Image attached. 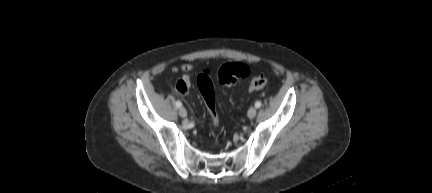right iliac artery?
I'll return each mask as SVG.
<instances>
[{
  "label": "right iliac artery",
  "mask_w": 432,
  "mask_h": 193,
  "mask_svg": "<svg viewBox=\"0 0 432 193\" xmlns=\"http://www.w3.org/2000/svg\"><path fill=\"white\" fill-rule=\"evenodd\" d=\"M175 105L177 108H180L182 106V103L180 101H176Z\"/></svg>",
  "instance_id": "right-iliac-artery-1"
}]
</instances>
